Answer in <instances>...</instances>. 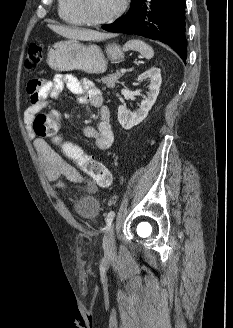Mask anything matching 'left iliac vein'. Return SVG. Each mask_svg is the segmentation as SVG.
Here are the masks:
<instances>
[{"label": "left iliac vein", "mask_w": 233, "mask_h": 328, "mask_svg": "<svg viewBox=\"0 0 233 328\" xmlns=\"http://www.w3.org/2000/svg\"><path fill=\"white\" fill-rule=\"evenodd\" d=\"M115 248V232L113 226H110L103 239V249L107 256H111L115 253Z\"/></svg>", "instance_id": "obj_1"}]
</instances>
